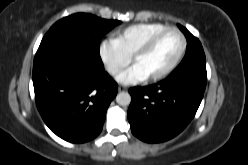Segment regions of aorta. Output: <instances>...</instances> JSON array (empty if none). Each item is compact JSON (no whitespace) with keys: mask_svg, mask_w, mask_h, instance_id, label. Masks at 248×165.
Returning <instances> with one entry per match:
<instances>
[{"mask_svg":"<svg viewBox=\"0 0 248 165\" xmlns=\"http://www.w3.org/2000/svg\"><path fill=\"white\" fill-rule=\"evenodd\" d=\"M116 102L121 106H127L131 102V96L128 92H120L116 96Z\"/></svg>","mask_w":248,"mask_h":165,"instance_id":"1","label":"aorta"}]
</instances>
